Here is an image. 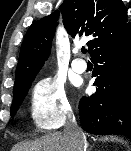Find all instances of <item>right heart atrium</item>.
<instances>
[{
  "instance_id": "1",
  "label": "right heart atrium",
  "mask_w": 131,
  "mask_h": 151,
  "mask_svg": "<svg viewBox=\"0 0 131 151\" xmlns=\"http://www.w3.org/2000/svg\"><path fill=\"white\" fill-rule=\"evenodd\" d=\"M71 113V104L59 79L49 76L37 81L31 93V117L36 127L56 130Z\"/></svg>"
}]
</instances>
